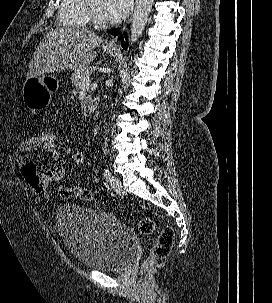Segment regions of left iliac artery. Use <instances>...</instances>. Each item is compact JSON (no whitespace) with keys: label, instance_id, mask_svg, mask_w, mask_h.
<instances>
[{"label":"left iliac artery","instance_id":"44dca946","mask_svg":"<svg viewBox=\"0 0 272 303\" xmlns=\"http://www.w3.org/2000/svg\"><path fill=\"white\" fill-rule=\"evenodd\" d=\"M104 178L108 181L111 174L108 168H104V172H103Z\"/></svg>","mask_w":272,"mask_h":303}]
</instances>
